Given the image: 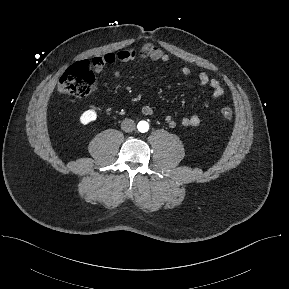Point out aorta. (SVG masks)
Here are the masks:
<instances>
[{
    "label": "aorta",
    "instance_id": "obj_1",
    "mask_svg": "<svg viewBox=\"0 0 289 289\" xmlns=\"http://www.w3.org/2000/svg\"><path fill=\"white\" fill-rule=\"evenodd\" d=\"M137 127L140 132H147L149 129V124L146 121H140Z\"/></svg>",
    "mask_w": 289,
    "mask_h": 289
}]
</instances>
